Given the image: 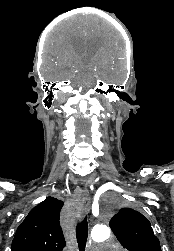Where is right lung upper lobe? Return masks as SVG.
<instances>
[{
    "label": "right lung upper lobe",
    "mask_w": 174,
    "mask_h": 251,
    "mask_svg": "<svg viewBox=\"0 0 174 251\" xmlns=\"http://www.w3.org/2000/svg\"><path fill=\"white\" fill-rule=\"evenodd\" d=\"M63 202L47 197L18 227L11 251H62L65 239L59 223Z\"/></svg>",
    "instance_id": "obj_1"
}]
</instances>
